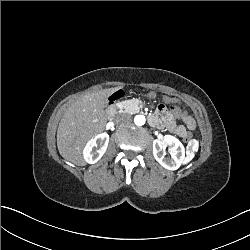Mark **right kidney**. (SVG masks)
<instances>
[{
	"label": "right kidney",
	"instance_id": "obj_1",
	"mask_svg": "<svg viewBox=\"0 0 250 250\" xmlns=\"http://www.w3.org/2000/svg\"><path fill=\"white\" fill-rule=\"evenodd\" d=\"M109 142V134L105 132L96 133L83 147L82 155L87 164L96 163L105 153ZM96 147V150L93 148Z\"/></svg>",
	"mask_w": 250,
	"mask_h": 250
}]
</instances>
